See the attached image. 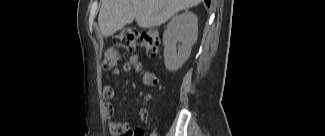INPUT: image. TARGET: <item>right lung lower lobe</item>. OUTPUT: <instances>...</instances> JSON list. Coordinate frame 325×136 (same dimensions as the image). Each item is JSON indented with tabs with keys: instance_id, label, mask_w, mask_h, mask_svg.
Listing matches in <instances>:
<instances>
[{
	"instance_id": "1",
	"label": "right lung lower lobe",
	"mask_w": 325,
	"mask_h": 136,
	"mask_svg": "<svg viewBox=\"0 0 325 136\" xmlns=\"http://www.w3.org/2000/svg\"><path fill=\"white\" fill-rule=\"evenodd\" d=\"M204 1H205V3L207 4V6L210 5V0H204Z\"/></svg>"
}]
</instances>
